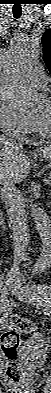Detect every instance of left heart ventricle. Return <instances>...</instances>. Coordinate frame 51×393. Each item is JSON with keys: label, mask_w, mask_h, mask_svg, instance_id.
Returning <instances> with one entry per match:
<instances>
[{"label": "left heart ventricle", "mask_w": 51, "mask_h": 393, "mask_svg": "<svg viewBox=\"0 0 51 393\" xmlns=\"http://www.w3.org/2000/svg\"><path fill=\"white\" fill-rule=\"evenodd\" d=\"M34 119L38 120L47 130H51V104L43 101L38 107Z\"/></svg>", "instance_id": "b2bd125f"}]
</instances>
